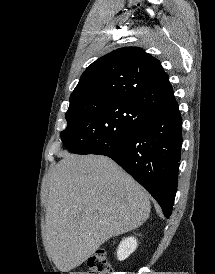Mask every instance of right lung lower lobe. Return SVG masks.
Listing matches in <instances>:
<instances>
[{
	"mask_svg": "<svg viewBox=\"0 0 215 274\" xmlns=\"http://www.w3.org/2000/svg\"><path fill=\"white\" fill-rule=\"evenodd\" d=\"M182 145V118L178 105L151 115L130 135L93 154L118 163L159 203L168 218L177 191Z\"/></svg>",
	"mask_w": 215,
	"mask_h": 274,
	"instance_id": "right-lung-lower-lobe-1",
	"label": "right lung lower lobe"
}]
</instances>
